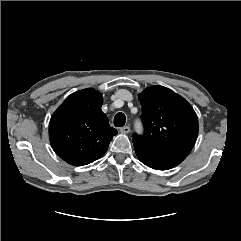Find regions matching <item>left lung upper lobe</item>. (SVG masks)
<instances>
[{
  "instance_id": "left-lung-upper-lobe-1",
  "label": "left lung upper lobe",
  "mask_w": 241,
  "mask_h": 241,
  "mask_svg": "<svg viewBox=\"0 0 241 241\" xmlns=\"http://www.w3.org/2000/svg\"><path fill=\"white\" fill-rule=\"evenodd\" d=\"M142 105L143 136L134 134L133 144L159 152L188 155L198 136V119L192 106L163 86L144 89L138 97Z\"/></svg>"
}]
</instances>
